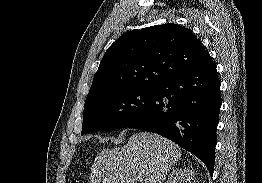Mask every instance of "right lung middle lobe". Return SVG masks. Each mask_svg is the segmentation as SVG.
<instances>
[{
    "label": "right lung middle lobe",
    "mask_w": 262,
    "mask_h": 183,
    "mask_svg": "<svg viewBox=\"0 0 262 183\" xmlns=\"http://www.w3.org/2000/svg\"><path fill=\"white\" fill-rule=\"evenodd\" d=\"M155 96L156 88H130L85 101L81 134L127 127Z\"/></svg>",
    "instance_id": "1"
}]
</instances>
